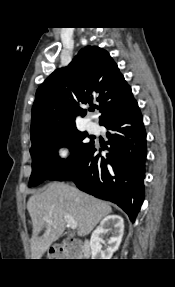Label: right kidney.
Returning <instances> with one entry per match:
<instances>
[{
	"instance_id": "1",
	"label": "right kidney",
	"mask_w": 175,
	"mask_h": 287,
	"mask_svg": "<svg viewBox=\"0 0 175 287\" xmlns=\"http://www.w3.org/2000/svg\"><path fill=\"white\" fill-rule=\"evenodd\" d=\"M111 232V236L108 239V248L106 250L101 249L100 237ZM124 233V221L121 216L109 215L106 216L96 230L92 233L90 246L92 259H111L113 253L118 250L122 241Z\"/></svg>"
}]
</instances>
